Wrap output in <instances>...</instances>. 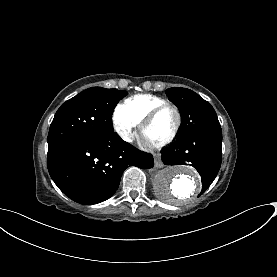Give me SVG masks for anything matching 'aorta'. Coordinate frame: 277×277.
<instances>
[{
  "label": "aorta",
  "instance_id": "obj_1",
  "mask_svg": "<svg viewBox=\"0 0 277 277\" xmlns=\"http://www.w3.org/2000/svg\"><path fill=\"white\" fill-rule=\"evenodd\" d=\"M154 186L158 196L165 202L184 203L201 191L198 173L188 167H167L155 177Z\"/></svg>",
  "mask_w": 277,
  "mask_h": 277
}]
</instances>
